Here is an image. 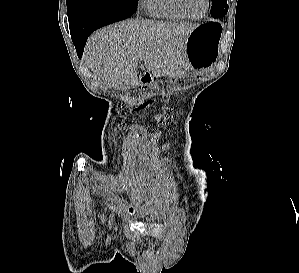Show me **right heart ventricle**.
I'll list each match as a JSON object with an SVG mask.
<instances>
[{
    "label": "right heart ventricle",
    "mask_w": 299,
    "mask_h": 273,
    "mask_svg": "<svg viewBox=\"0 0 299 273\" xmlns=\"http://www.w3.org/2000/svg\"><path fill=\"white\" fill-rule=\"evenodd\" d=\"M147 12L156 18L182 21L187 16L179 9L176 0H145Z\"/></svg>",
    "instance_id": "1"
}]
</instances>
